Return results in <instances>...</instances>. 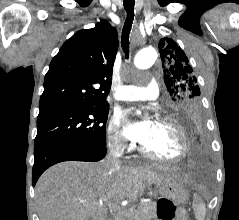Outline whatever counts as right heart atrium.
<instances>
[{
	"label": "right heart atrium",
	"instance_id": "1",
	"mask_svg": "<svg viewBox=\"0 0 239 220\" xmlns=\"http://www.w3.org/2000/svg\"><path fill=\"white\" fill-rule=\"evenodd\" d=\"M107 141L108 145L116 154H123L129 149L122 130H121V117L113 115L107 124Z\"/></svg>",
	"mask_w": 239,
	"mask_h": 220
}]
</instances>
